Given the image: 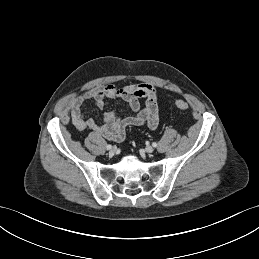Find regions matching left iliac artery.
Segmentation results:
<instances>
[{
    "label": "left iliac artery",
    "mask_w": 259,
    "mask_h": 259,
    "mask_svg": "<svg viewBox=\"0 0 259 259\" xmlns=\"http://www.w3.org/2000/svg\"><path fill=\"white\" fill-rule=\"evenodd\" d=\"M152 146H153V147H157V143H156V142H153V143H152Z\"/></svg>",
    "instance_id": "44dca946"
}]
</instances>
